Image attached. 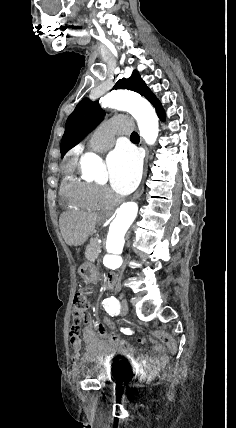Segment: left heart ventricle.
Segmentation results:
<instances>
[{
	"mask_svg": "<svg viewBox=\"0 0 236 428\" xmlns=\"http://www.w3.org/2000/svg\"><path fill=\"white\" fill-rule=\"evenodd\" d=\"M104 180H105L104 178L99 177V178H97L95 181H96L97 183H102Z\"/></svg>",
	"mask_w": 236,
	"mask_h": 428,
	"instance_id": "left-heart-ventricle-1",
	"label": "left heart ventricle"
}]
</instances>
